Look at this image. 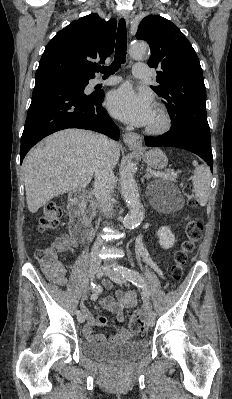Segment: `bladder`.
Instances as JSON below:
<instances>
[{
  "label": "bladder",
  "instance_id": "1",
  "mask_svg": "<svg viewBox=\"0 0 232 399\" xmlns=\"http://www.w3.org/2000/svg\"><path fill=\"white\" fill-rule=\"evenodd\" d=\"M149 350L146 340L136 341H85L80 351L83 357L92 360L129 362L144 356Z\"/></svg>",
  "mask_w": 232,
  "mask_h": 399
}]
</instances>
